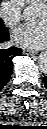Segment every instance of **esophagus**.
<instances>
[{
	"label": "esophagus",
	"instance_id": "1",
	"mask_svg": "<svg viewBox=\"0 0 47 129\" xmlns=\"http://www.w3.org/2000/svg\"><path fill=\"white\" fill-rule=\"evenodd\" d=\"M23 53L24 54H28V55H33V54H36L37 52L36 51L29 50V49H24L23 50Z\"/></svg>",
	"mask_w": 47,
	"mask_h": 129
}]
</instances>
